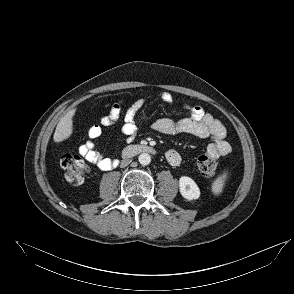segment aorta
<instances>
[{"label": "aorta", "instance_id": "1", "mask_svg": "<svg viewBox=\"0 0 294 294\" xmlns=\"http://www.w3.org/2000/svg\"><path fill=\"white\" fill-rule=\"evenodd\" d=\"M139 163L141 165H148L151 162V156L148 153H142L138 157Z\"/></svg>", "mask_w": 294, "mask_h": 294}]
</instances>
